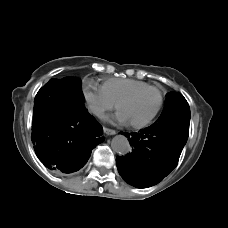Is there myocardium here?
<instances>
[{"mask_svg":"<svg viewBox=\"0 0 228 228\" xmlns=\"http://www.w3.org/2000/svg\"><path fill=\"white\" fill-rule=\"evenodd\" d=\"M148 91H155L157 94H158V103H157V106L154 110V112L145 120L141 121V122H129V124L134 127V128H142V127H145L147 126L158 114L161 106H162V103H163V95L161 93V91L154 87V86H151V87H148V88H145V89H142V90H138V91H135L129 95H127L126 97H124L118 104H117V108L119 109V111H121V107L128 101H130L131 99L137 97L138 95H141L145 92H148ZM122 112V111H121Z\"/></svg>","mask_w":228,"mask_h":228,"instance_id":"f54148a6","label":"myocardium"}]
</instances>
